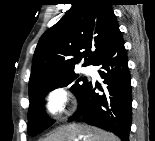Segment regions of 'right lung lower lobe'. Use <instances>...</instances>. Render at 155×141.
I'll return each instance as SVG.
<instances>
[{
    "label": "right lung lower lobe",
    "mask_w": 155,
    "mask_h": 141,
    "mask_svg": "<svg viewBox=\"0 0 155 141\" xmlns=\"http://www.w3.org/2000/svg\"><path fill=\"white\" fill-rule=\"evenodd\" d=\"M94 66H100L105 87L89 81L77 97L78 110L70 121L83 117L91 125L109 130L128 141L132 121L131 77L124 40L119 32L103 49ZM98 88L103 93L95 92Z\"/></svg>",
    "instance_id": "98d812e1"
}]
</instances>
